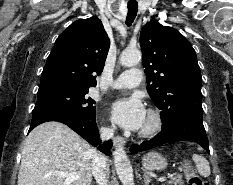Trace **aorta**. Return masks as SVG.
Here are the masks:
<instances>
[{
    "mask_svg": "<svg viewBox=\"0 0 233 185\" xmlns=\"http://www.w3.org/2000/svg\"><path fill=\"white\" fill-rule=\"evenodd\" d=\"M141 52L138 49H126L120 56V63L131 67L139 63ZM114 164L117 175L123 185H134L133 169L126 152L121 146L114 151Z\"/></svg>",
    "mask_w": 233,
    "mask_h": 185,
    "instance_id": "aorta-1",
    "label": "aorta"
}]
</instances>
